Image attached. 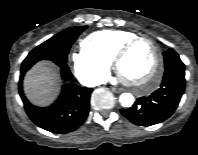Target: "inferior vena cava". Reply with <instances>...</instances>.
I'll return each mask as SVG.
<instances>
[{"label":"inferior vena cava","mask_w":198,"mask_h":155,"mask_svg":"<svg viewBox=\"0 0 198 155\" xmlns=\"http://www.w3.org/2000/svg\"><path fill=\"white\" fill-rule=\"evenodd\" d=\"M103 83H105V81L93 78V79H90V80L86 81L85 85L89 86V87H94V86H97V85H100V84H103Z\"/></svg>","instance_id":"inferior-vena-cava-1"}]
</instances>
